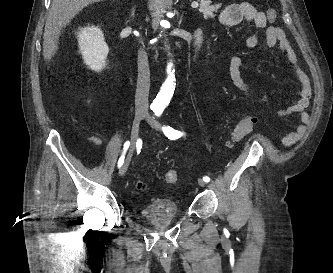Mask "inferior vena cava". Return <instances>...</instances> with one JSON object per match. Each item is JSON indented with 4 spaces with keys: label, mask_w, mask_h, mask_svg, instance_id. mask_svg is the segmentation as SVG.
<instances>
[{
    "label": "inferior vena cava",
    "mask_w": 333,
    "mask_h": 273,
    "mask_svg": "<svg viewBox=\"0 0 333 273\" xmlns=\"http://www.w3.org/2000/svg\"><path fill=\"white\" fill-rule=\"evenodd\" d=\"M150 86V70L147 53L143 49L138 51V80L135 95L136 113H145L148 109V95Z\"/></svg>",
    "instance_id": "obj_1"
}]
</instances>
